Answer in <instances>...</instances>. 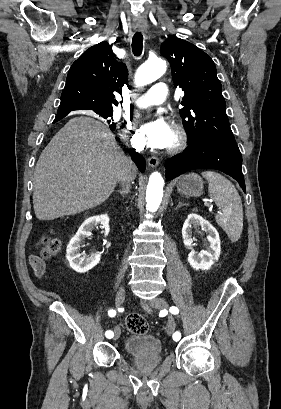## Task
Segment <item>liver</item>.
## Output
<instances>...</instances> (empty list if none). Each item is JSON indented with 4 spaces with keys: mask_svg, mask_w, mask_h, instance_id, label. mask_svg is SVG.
Returning <instances> with one entry per match:
<instances>
[{
    "mask_svg": "<svg viewBox=\"0 0 281 409\" xmlns=\"http://www.w3.org/2000/svg\"><path fill=\"white\" fill-rule=\"evenodd\" d=\"M126 160L100 120L75 116L56 132L34 170V213L52 221L98 207L112 194Z\"/></svg>",
    "mask_w": 281,
    "mask_h": 409,
    "instance_id": "obj_1",
    "label": "liver"
}]
</instances>
